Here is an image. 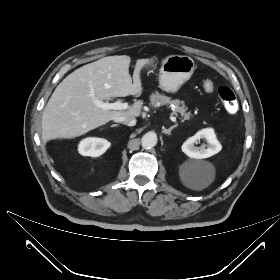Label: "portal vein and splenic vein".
<instances>
[{
  "mask_svg": "<svg viewBox=\"0 0 280 280\" xmlns=\"http://www.w3.org/2000/svg\"><path fill=\"white\" fill-rule=\"evenodd\" d=\"M94 104L103 110H126L129 107L127 103H122L120 100H117L114 103H108V102H102L99 100H95ZM169 118L172 122H174V123L177 122L176 117H174L173 115H170Z\"/></svg>",
  "mask_w": 280,
  "mask_h": 280,
  "instance_id": "1",
  "label": "portal vein and splenic vein"
}]
</instances>
